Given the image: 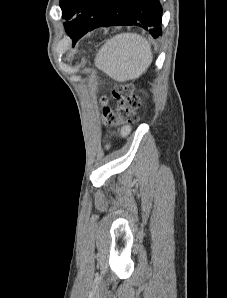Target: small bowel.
Returning <instances> with one entry per match:
<instances>
[{
    "mask_svg": "<svg viewBox=\"0 0 227 298\" xmlns=\"http://www.w3.org/2000/svg\"><path fill=\"white\" fill-rule=\"evenodd\" d=\"M128 132H129V127L128 126L123 127L122 130H121L122 135H126Z\"/></svg>",
    "mask_w": 227,
    "mask_h": 298,
    "instance_id": "1",
    "label": "small bowel"
}]
</instances>
